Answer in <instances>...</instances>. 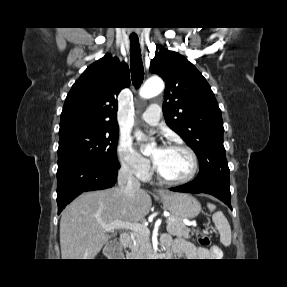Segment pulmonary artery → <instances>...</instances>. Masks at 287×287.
<instances>
[{"mask_svg": "<svg viewBox=\"0 0 287 287\" xmlns=\"http://www.w3.org/2000/svg\"><path fill=\"white\" fill-rule=\"evenodd\" d=\"M141 119L149 125H156L160 120V107L151 104L142 114Z\"/></svg>", "mask_w": 287, "mask_h": 287, "instance_id": "obj_1", "label": "pulmonary artery"}]
</instances>
